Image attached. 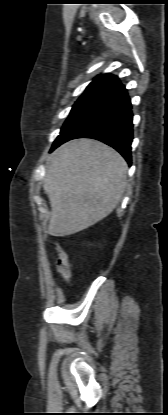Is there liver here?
I'll return each instance as SVG.
<instances>
[{"label": "liver", "instance_id": "1", "mask_svg": "<svg viewBox=\"0 0 168 415\" xmlns=\"http://www.w3.org/2000/svg\"><path fill=\"white\" fill-rule=\"evenodd\" d=\"M128 165L113 148L93 139H76L49 157L43 182L51 216L48 233L75 234L108 216L127 185Z\"/></svg>", "mask_w": 168, "mask_h": 415}]
</instances>
